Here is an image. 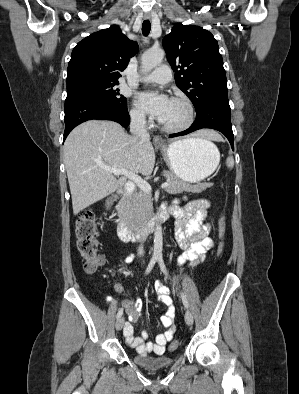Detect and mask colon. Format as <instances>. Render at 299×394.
Listing matches in <instances>:
<instances>
[{
	"instance_id": "1",
	"label": "colon",
	"mask_w": 299,
	"mask_h": 394,
	"mask_svg": "<svg viewBox=\"0 0 299 394\" xmlns=\"http://www.w3.org/2000/svg\"><path fill=\"white\" fill-rule=\"evenodd\" d=\"M219 246L217 254L220 256L224 250V237L226 233V217L223 215L219 219ZM76 238L77 249L84 259V269L88 273L95 272L101 267L105 260L99 251V244L97 241L98 229L96 223V216L92 209L87 208L83 210L76 222ZM177 344L171 343L170 349H175Z\"/></svg>"
}]
</instances>
